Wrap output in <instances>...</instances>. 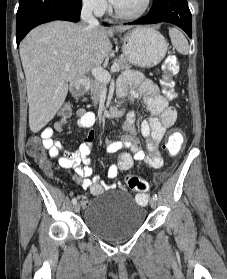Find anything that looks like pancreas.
<instances>
[{
    "label": "pancreas",
    "mask_w": 227,
    "mask_h": 279,
    "mask_svg": "<svg viewBox=\"0 0 227 279\" xmlns=\"http://www.w3.org/2000/svg\"><path fill=\"white\" fill-rule=\"evenodd\" d=\"M113 64L119 66V70L125 71L131 68V64L125 58H118L113 61ZM106 88V82L98 79L91 81L90 92L92 95V100L94 104H97L100 100L101 93Z\"/></svg>",
    "instance_id": "1"
}]
</instances>
